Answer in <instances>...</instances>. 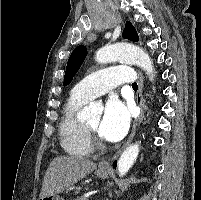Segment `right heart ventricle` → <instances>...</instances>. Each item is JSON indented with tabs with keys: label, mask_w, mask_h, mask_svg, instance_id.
Returning a JSON list of instances; mask_svg holds the SVG:
<instances>
[{
	"label": "right heart ventricle",
	"mask_w": 201,
	"mask_h": 200,
	"mask_svg": "<svg viewBox=\"0 0 201 200\" xmlns=\"http://www.w3.org/2000/svg\"><path fill=\"white\" fill-rule=\"evenodd\" d=\"M88 101L71 93L62 111L59 140L63 150L71 156H88L93 150L88 141L84 123L78 116Z\"/></svg>",
	"instance_id": "obj_1"
}]
</instances>
